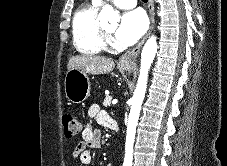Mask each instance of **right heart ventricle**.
Here are the masks:
<instances>
[{
    "label": "right heart ventricle",
    "instance_id": "1",
    "mask_svg": "<svg viewBox=\"0 0 227 166\" xmlns=\"http://www.w3.org/2000/svg\"><path fill=\"white\" fill-rule=\"evenodd\" d=\"M99 6L100 3L94 0L84 3L72 19L73 46L81 54L96 55L105 48L98 18Z\"/></svg>",
    "mask_w": 227,
    "mask_h": 166
}]
</instances>
